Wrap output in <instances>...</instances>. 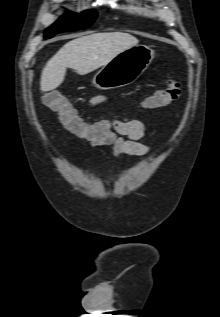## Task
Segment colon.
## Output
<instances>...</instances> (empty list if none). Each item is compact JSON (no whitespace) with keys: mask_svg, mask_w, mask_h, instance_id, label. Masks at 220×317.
<instances>
[{"mask_svg":"<svg viewBox=\"0 0 220 317\" xmlns=\"http://www.w3.org/2000/svg\"><path fill=\"white\" fill-rule=\"evenodd\" d=\"M180 92V83L177 79L171 77L167 81L166 88L158 90L148 96L144 101V105L148 109L162 108L177 100L180 96ZM42 99L46 106L58 114L59 119L67 129L72 132H79L85 129L86 123L63 94L53 90H46L42 95ZM94 124H98L101 133H105L110 129L108 121H101Z\"/></svg>","mask_w":220,"mask_h":317,"instance_id":"1","label":"colon"}]
</instances>
